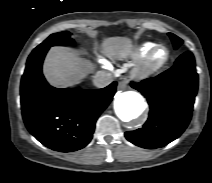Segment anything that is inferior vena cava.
<instances>
[{"instance_id": "inferior-vena-cava-1", "label": "inferior vena cava", "mask_w": 212, "mask_h": 183, "mask_svg": "<svg viewBox=\"0 0 212 183\" xmlns=\"http://www.w3.org/2000/svg\"><path fill=\"white\" fill-rule=\"evenodd\" d=\"M112 82V76L108 72L98 71L93 76V83L98 88H104Z\"/></svg>"}]
</instances>
